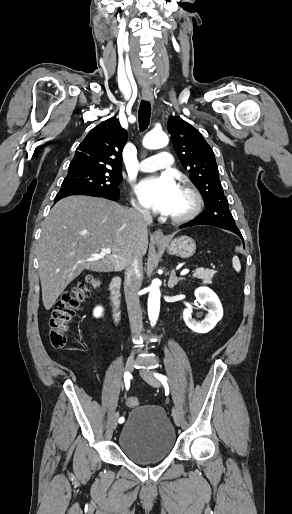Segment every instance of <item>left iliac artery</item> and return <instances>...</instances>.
Here are the masks:
<instances>
[{"label":"left iliac artery","mask_w":292,"mask_h":514,"mask_svg":"<svg viewBox=\"0 0 292 514\" xmlns=\"http://www.w3.org/2000/svg\"><path fill=\"white\" fill-rule=\"evenodd\" d=\"M154 376L160 380L163 384L167 382V378L166 376L162 375V374H159V373H155Z\"/></svg>","instance_id":"44dca946"}]
</instances>
